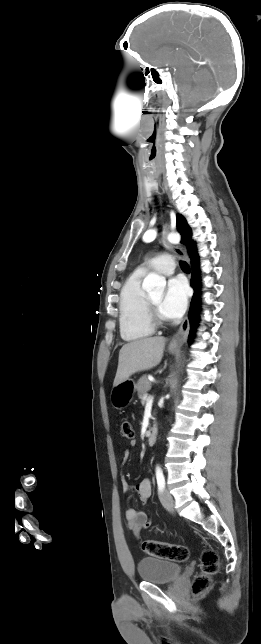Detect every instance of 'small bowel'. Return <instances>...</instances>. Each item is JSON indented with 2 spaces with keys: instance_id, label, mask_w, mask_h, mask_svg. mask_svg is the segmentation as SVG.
<instances>
[{
  "instance_id": "1",
  "label": "small bowel",
  "mask_w": 261,
  "mask_h": 644,
  "mask_svg": "<svg viewBox=\"0 0 261 644\" xmlns=\"http://www.w3.org/2000/svg\"><path fill=\"white\" fill-rule=\"evenodd\" d=\"M131 445L135 446L136 442L132 441ZM129 457L130 451L125 450L123 454V463H125L129 459ZM121 483L124 492H136L142 503H145L151 495V482L147 478L140 480L133 486L129 485L124 478H122ZM124 518L127 528L131 530L136 537H139L140 531L142 529H148L151 527V521L149 520L146 512L143 510L127 508L124 512Z\"/></svg>"
}]
</instances>
